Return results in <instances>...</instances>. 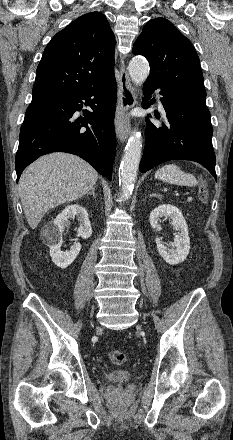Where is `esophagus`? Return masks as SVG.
<instances>
[{
  "mask_svg": "<svg viewBox=\"0 0 233 440\" xmlns=\"http://www.w3.org/2000/svg\"><path fill=\"white\" fill-rule=\"evenodd\" d=\"M118 94L119 99L115 120V129L119 140L121 142H125L131 132V123L127 112L134 107L136 99L131 86L129 74L126 71L123 63L120 68Z\"/></svg>",
  "mask_w": 233,
  "mask_h": 440,
  "instance_id": "1",
  "label": "esophagus"
}]
</instances>
